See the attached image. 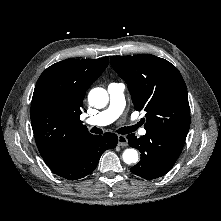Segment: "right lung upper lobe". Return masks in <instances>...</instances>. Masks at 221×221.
Instances as JSON below:
<instances>
[{
  "mask_svg": "<svg viewBox=\"0 0 221 221\" xmlns=\"http://www.w3.org/2000/svg\"><path fill=\"white\" fill-rule=\"evenodd\" d=\"M107 66L108 57L66 59L39 77L30 116L38 150L46 163L54 162L91 135L80 121L81 107L87 89Z\"/></svg>",
  "mask_w": 221,
  "mask_h": 221,
  "instance_id": "1",
  "label": "right lung upper lobe"
}]
</instances>
